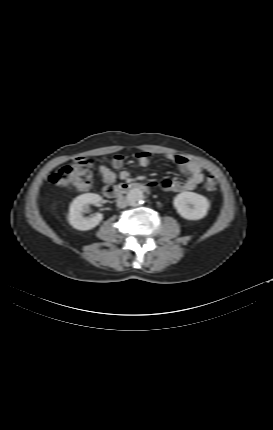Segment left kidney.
<instances>
[{
    "instance_id": "5707ae66",
    "label": "left kidney",
    "mask_w": 273,
    "mask_h": 430,
    "mask_svg": "<svg viewBox=\"0 0 273 430\" xmlns=\"http://www.w3.org/2000/svg\"><path fill=\"white\" fill-rule=\"evenodd\" d=\"M174 207L178 214L187 220H200L209 210L210 202L203 195L195 192H182L174 198Z\"/></svg>"
}]
</instances>
